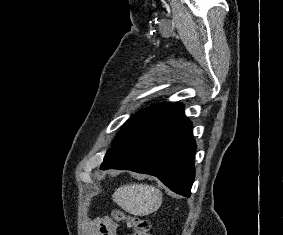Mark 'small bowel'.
<instances>
[{"label": "small bowel", "instance_id": "c3829d8e", "mask_svg": "<svg viewBox=\"0 0 283 235\" xmlns=\"http://www.w3.org/2000/svg\"><path fill=\"white\" fill-rule=\"evenodd\" d=\"M94 235H116L117 224L107 217H99L91 223Z\"/></svg>", "mask_w": 283, "mask_h": 235}]
</instances>
